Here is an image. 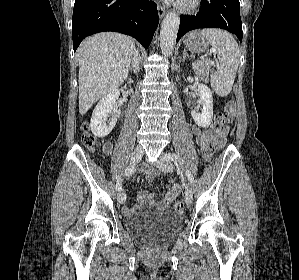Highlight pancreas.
Returning a JSON list of instances; mask_svg holds the SVG:
<instances>
[{
    "label": "pancreas",
    "instance_id": "cf45deb5",
    "mask_svg": "<svg viewBox=\"0 0 299 280\" xmlns=\"http://www.w3.org/2000/svg\"><path fill=\"white\" fill-rule=\"evenodd\" d=\"M193 69L194 71L196 72L197 76L207 82L208 81V72L204 69V67L202 66V64H199V63H195L193 65Z\"/></svg>",
    "mask_w": 299,
    "mask_h": 280
}]
</instances>
